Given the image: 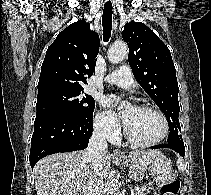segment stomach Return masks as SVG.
<instances>
[{"mask_svg":"<svg viewBox=\"0 0 211 195\" xmlns=\"http://www.w3.org/2000/svg\"><path fill=\"white\" fill-rule=\"evenodd\" d=\"M120 160L123 161L124 165L130 167V177L135 181L142 180L145 172H148L152 177H154L158 184H166L175 179L171 161L164 155L160 154L149 157L143 161L144 165H134L126 157Z\"/></svg>","mask_w":211,"mask_h":195,"instance_id":"stomach-1","label":"stomach"}]
</instances>
